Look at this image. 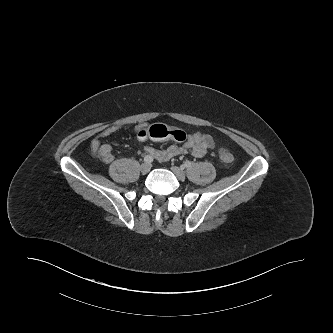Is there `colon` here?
I'll use <instances>...</instances> for the list:
<instances>
[{
    "instance_id": "colon-1",
    "label": "colon",
    "mask_w": 333,
    "mask_h": 333,
    "mask_svg": "<svg viewBox=\"0 0 333 333\" xmlns=\"http://www.w3.org/2000/svg\"><path fill=\"white\" fill-rule=\"evenodd\" d=\"M137 135L140 139H154V140H164L173 139L176 141H183L186 138L184 131L168 127L163 124H153L149 127L141 128ZM219 159L224 164H231L235 160L234 154L226 148H221L219 150Z\"/></svg>"
}]
</instances>
